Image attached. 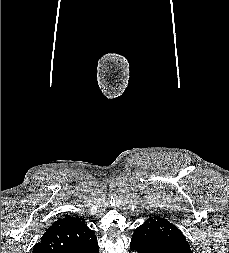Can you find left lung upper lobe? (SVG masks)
Segmentation results:
<instances>
[{
	"instance_id": "5c2ea615",
	"label": "left lung upper lobe",
	"mask_w": 229,
	"mask_h": 253,
	"mask_svg": "<svg viewBox=\"0 0 229 253\" xmlns=\"http://www.w3.org/2000/svg\"><path fill=\"white\" fill-rule=\"evenodd\" d=\"M132 241L149 249L192 253L182 232L159 215H150L144 224L136 228Z\"/></svg>"
}]
</instances>
